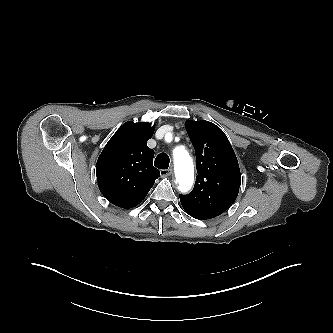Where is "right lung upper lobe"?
Segmentation results:
<instances>
[{"label":"right lung upper lobe","mask_w":333,"mask_h":333,"mask_svg":"<svg viewBox=\"0 0 333 333\" xmlns=\"http://www.w3.org/2000/svg\"><path fill=\"white\" fill-rule=\"evenodd\" d=\"M154 126L124 123L111 137L96 164L98 186L112 204L129 209L147 195L160 172L153 166L154 151L146 142Z\"/></svg>","instance_id":"right-lung-upper-lobe-1"}]
</instances>
